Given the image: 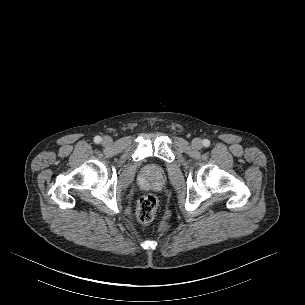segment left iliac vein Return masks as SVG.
<instances>
[{"mask_svg": "<svg viewBox=\"0 0 305 305\" xmlns=\"http://www.w3.org/2000/svg\"><path fill=\"white\" fill-rule=\"evenodd\" d=\"M192 146H193V148H195V149H200V148L202 147V141H201V139H199V138L193 139V141H192Z\"/></svg>", "mask_w": 305, "mask_h": 305, "instance_id": "obj_1", "label": "left iliac vein"}]
</instances>
